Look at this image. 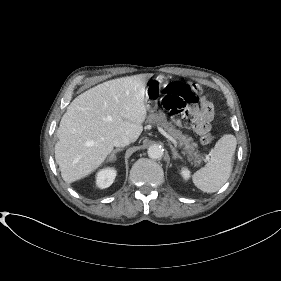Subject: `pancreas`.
I'll use <instances>...</instances> for the list:
<instances>
[{
  "label": "pancreas",
  "mask_w": 281,
  "mask_h": 281,
  "mask_svg": "<svg viewBox=\"0 0 281 281\" xmlns=\"http://www.w3.org/2000/svg\"><path fill=\"white\" fill-rule=\"evenodd\" d=\"M147 122L155 126L163 127L178 143L179 146H184L186 153L189 154L190 159L195 163H200L201 156L195 150L198 144L193 142V139L187 135H183L182 132L166 119L165 114L162 111L158 113H152L148 116Z\"/></svg>",
  "instance_id": "1"
}]
</instances>
